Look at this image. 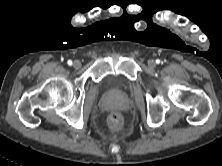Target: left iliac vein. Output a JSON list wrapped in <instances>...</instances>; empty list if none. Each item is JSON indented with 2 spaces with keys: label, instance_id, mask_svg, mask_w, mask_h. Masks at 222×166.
<instances>
[{
  "label": "left iliac vein",
  "instance_id": "1",
  "mask_svg": "<svg viewBox=\"0 0 222 166\" xmlns=\"http://www.w3.org/2000/svg\"><path fill=\"white\" fill-rule=\"evenodd\" d=\"M148 65L150 68H154L155 67V62L153 60L148 61Z\"/></svg>",
  "mask_w": 222,
  "mask_h": 166
}]
</instances>
